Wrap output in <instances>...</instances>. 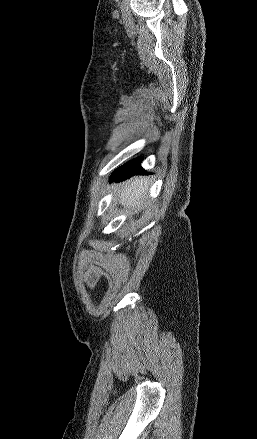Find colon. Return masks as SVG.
Segmentation results:
<instances>
[{
    "instance_id": "1",
    "label": "colon",
    "mask_w": 257,
    "mask_h": 439,
    "mask_svg": "<svg viewBox=\"0 0 257 439\" xmlns=\"http://www.w3.org/2000/svg\"><path fill=\"white\" fill-rule=\"evenodd\" d=\"M97 282V275L95 273H90L88 275V285L93 287Z\"/></svg>"
}]
</instances>
